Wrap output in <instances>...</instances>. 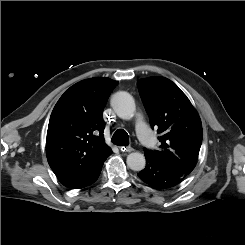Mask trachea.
Returning a JSON list of instances; mask_svg holds the SVG:
<instances>
[{
  "label": "trachea",
  "instance_id": "obj_1",
  "mask_svg": "<svg viewBox=\"0 0 245 245\" xmlns=\"http://www.w3.org/2000/svg\"><path fill=\"white\" fill-rule=\"evenodd\" d=\"M111 141L117 146H128L129 136L123 129H118L112 136Z\"/></svg>",
  "mask_w": 245,
  "mask_h": 245
}]
</instances>
